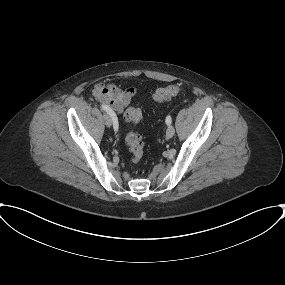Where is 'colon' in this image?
Returning a JSON list of instances; mask_svg holds the SVG:
<instances>
[{
	"instance_id": "colon-1",
	"label": "colon",
	"mask_w": 285,
	"mask_h": 285,
	"mask_svg": "<svg viewBox=\"0 0 285 285\" xmlns=\"http://www.w3.org/2000/svg\"><path fill=\"white\" fill-rule=\"evenodd\" d=\"M181 92L182 87L178 85H169L157 89L153 94V100L156 103H163ZM142 118L143 115L141 110L135 107L128 108L124 113V119L127 122L138 123ZM126 144L131 153L132 162H140L144 156V143L142 141V137L138 133L130 131L126 136Z\"/></svg>"
}]
</instances>
